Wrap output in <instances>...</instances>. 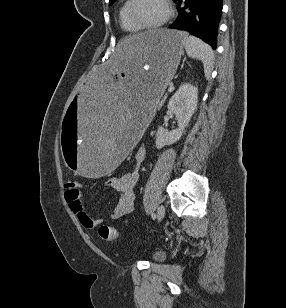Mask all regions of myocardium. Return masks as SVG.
<instances>
[{
  "label": "myocardium",
  "instance_id": "f54148a6",
  "mask_svg": "<svg viewBox=\"0 0 286 308\" xmlns=\"http://www.w3.org/2000/svg\"><path fill=\"white\" fill-rule=\"evenodd\" d=\"M138 3V0H131L129 10H128V15L129 19L133 24H135L138 28L143 29V30H153V29H159L163 27L172 17L173 15V8L171 5L170 0H163V3L166 8V14L165 16L158 22L153 23V24H145L142 23L138 18L136 17V5Z\"/></svg>",
  "mask_w": 286,
  "mask_h": 308
}]
</instances>
